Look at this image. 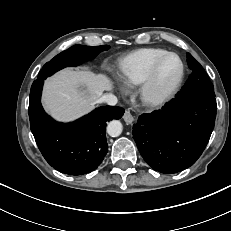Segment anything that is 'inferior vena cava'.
Masks as SVG:
<instances>
[{
    "mask_svg": "<svg viewBox=\"0 0 231 231\" xmlns=\"http://www.w3.org/2000/svg\"><path fill=\"white\" fill-rule=\"evenodd\" d=\"M117 101V97L112 93H106L99 99L100 103H106L108 105H116Z\"/></svg>",
    "mask_w": 231,
    "mask_h": 231,
    "instance_id": "obj_1",
    "label": "inferior vena cava"
}]
</instances>
